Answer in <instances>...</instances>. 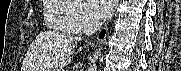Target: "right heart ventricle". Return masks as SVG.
Masks as SVG:
<instances>
[{
    "label": "right heart ventricle",
    "instance_id": "right-heart-ventricle-1",
    "mask_svg": "<svg viewBox=\"0 0 181 71\" xmlns=\"http://www.w3.org/2000/svg\"><path fill=\"white\" fill-rule=\"evenodd\" d=\"M70 9L68 5L57 0H47L44 7L47 25L54 30L70 32L66 20V14Z\"/></svg>",
    "mask_w": 181,
    "mask_h": 71
}]
</instances>
